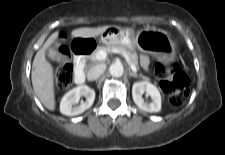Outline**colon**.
I'll return each instance as SVG.
<instances>
[{"mask_svg":"<svg viewBox=\"0 0 225 155\" xmlns=\"http://www.w3.org/2000/svg\"><path fill=\"white\" fill-rule=\"evenodd\" d=\"M155 71L161 79V88L168 94L170 105L175 108L182 106L189 94V79L182 71L179 63H158ZM54 74L55 84L58 89L67 87L72 80L73 66L70 61V52L66 47L59 48Z\"/></svg>","mask_w":225,"mask_h":155,"instance_id":"colon-1","label":"colon"}]
</instances>
